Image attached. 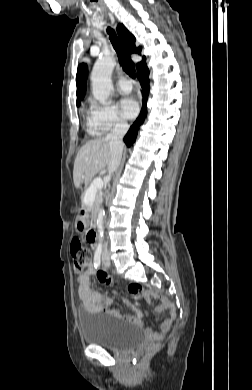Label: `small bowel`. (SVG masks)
<instances>
[{"mask_svg":"<svg viewBox=\"0 0 252 390\" xmlns=\"http://www.w3.org/2000/svg\"><path fill=\"white\" fill-rule=\"evenodd\" d=\"M95 274L96 268L94 264H91L88 269L77 276L78 295L82 301L84 309L91 313L102 312L117 319H122L132 323H141V311L134 307L124 296H122L117 291H114V294L119 297L127 307L131 308L135 312V315H125L116 309H110L112 299L102 295L91 286V278ZM98 277L101 283L110 284L112 282V279L105 272L100 273ZM150 295L151 294L149 292L141 291L137 294H134L133 296L136 298H147ZM152 297L159 303L158 313L165 312L159 331H149V336L153 339H156L165 334L170 329L172 321L175 318V308L172 302L164 296L153 294Z\"/></svg>","mask_w":252,"mask_h":390,"instance_id":"obj_1","label":"small bowel"}]
</instances>
